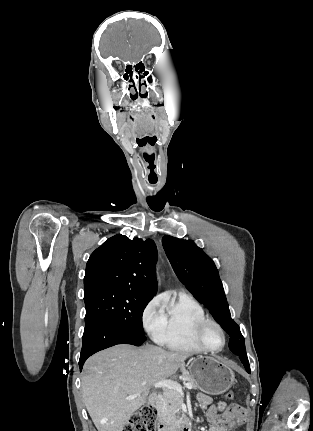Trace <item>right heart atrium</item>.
<instances>
[{
	"mask_svg": "<svg viewBox=\"0 0 313 431\" xmlns=\"http://www.w3.org/2000/svg\"><path fill=\"white\" fill-rule=\"evenodd\" d=\"M145 330L155 340L164 327V300L161 296H154L144 307L141 315Z\"/></svg>",
	"mask_w": 313,
	"mask_h": 431,
	"instance_id": "right-heart-atrium-1",
	"label": "right heart atrium"
}]
</instances>
